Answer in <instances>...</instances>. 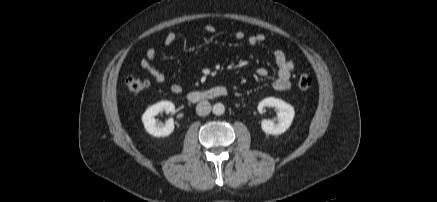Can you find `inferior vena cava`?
<instances>
[{"label": "inferior vena cava", "mask_w": 437, "mask_h": 202, "mask_svg": "<svg viewBox=\"0 0 437 202\" xmlns=\"http://www.w3.org/2000/svg\"><path fill=\"white\" fill-rule=\"evenodd\" d=\"M211 112V104L208 101H201L196 106V113L199 116H206Z\"/></svg>", "instance_id": "obj_1"}]
</instances>
